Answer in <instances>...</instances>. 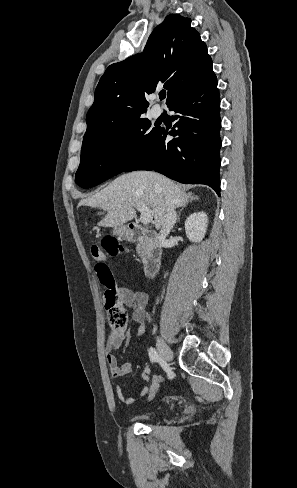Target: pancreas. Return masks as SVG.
Returning <instances> with one entry per match:
<instances>
[{
    "label": "pancreas",
    "instance_id": "1",
    "mask_svg": "<svg viewBox=\"0 0 297 488\" xmlns=\"http://www.w3.org/2000/svg\"><path fill=\"white\" fill-rule=\"evenodd\" d=\"M148 246L146 243L141 242L137 244L136 252L142 258V261L146 259Z\"/></svg>",
    "mask_w": 297,
    "mask_h": 488
}]
</instances>
